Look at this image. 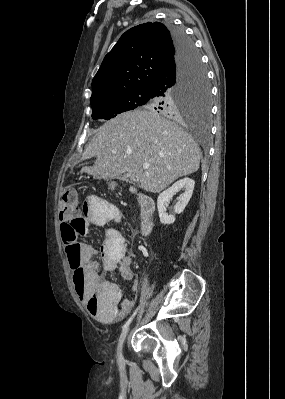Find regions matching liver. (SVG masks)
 <instances>
[{
	"mask_svg": "<svg viewBox=\"0 0 285 399\" xmlns=\"http://www.w3.org/2000/svg\"><path fill=\"white\" fill-rule=\"evenodd\" d=\"M201 150L192 136L154 111L122 113L101 126L82 159L96 157L81 172L109 180L128 173L139 187L159 193L176 179L196 172ZM148 163L149 169H143Z\"/></svg>",
	"mask_w": 285,
	"mask_h": 399,
	"instance_id": "liver-1",
	"label": "liver"
}]
</instances>
